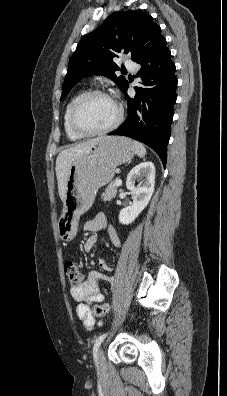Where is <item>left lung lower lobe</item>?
<instances>
[{
    "label": "left lung lower lobe",
    "mask_w": 227,
    "mask_h": 396,
    "mask_svg": "<svg viewBox=\"0 0 227 396\" xmlns=\"http://www.w3.org/2000/svg\"><path fill=\"white\" fill-rule=\"evenodd\" d=\"M134 61L141 65L138 74L143 87H135L136 95L129 97L127 83L122 91L127 97L129 115L108 135H123L146 144L165 166L177 86L175 65L165 38L160 37Z\"/></svg>",
    "instance_id": "obj_1"
}]
</instances>
